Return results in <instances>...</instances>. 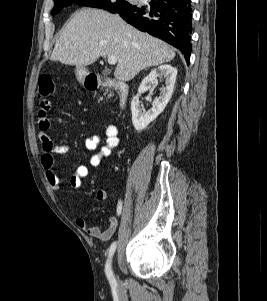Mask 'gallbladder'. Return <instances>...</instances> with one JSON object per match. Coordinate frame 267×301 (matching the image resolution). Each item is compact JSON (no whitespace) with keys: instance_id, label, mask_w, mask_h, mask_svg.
<instances>
[{"instance_id":"gallbladder-1","label":"gallbladder","mask_w":267,"mask_h":301,"mask_svg":"<svg viewBox=\"0 0 267 301\" xmlns=\"http://www.w3.org/2000/svg\"><path fill=\"white\" fill-rule=\"evenodd\" d=\"M102 74H103L104 76H108V75L110 74V71H109V70H104V71L102 72Z\"/></svg>"}]
</instances>
